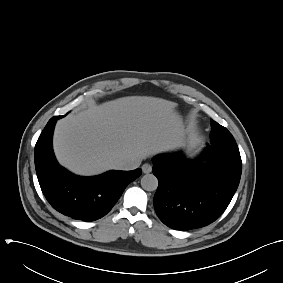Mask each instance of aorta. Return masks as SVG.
<instances>
[{
	"label": "aorta",
	"mask_w": 283,
	"mask_h": 283,
	"mask_svg": "<svg viewBox=\"0 0 283 283\" xmlns=\"http://www.w3.org/2000/svg\"><path fill=\"white\" fill-rule=\"evenodd\" d=\"M141 187L146 191H154L158 187V180L153 174H146L141 178Z\"/></svg>",
	"instance_id": "aorta-1"
}]
</instances>
